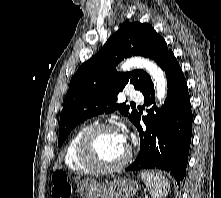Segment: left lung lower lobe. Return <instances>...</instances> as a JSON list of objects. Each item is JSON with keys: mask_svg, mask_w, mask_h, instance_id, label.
Listing matches in <instances>:
<instances>
[{"mask_svg": "<svg viewBox=\"0 0 221 198\" xmlns=\"http://www.w3.org/2000/svg\"><path fill=\"white\" fill-rule=\"evenodd\" d=\"M164 70L168 91L162 108L153 106L143 117L146 129L140 126L138 115L134 124L140 135V152L136 160L126 168L134 171L147 168L162 169L174 176L177 183L184 178L191 142L192 111L186 80L173 53L165 60ZM144 105L154 103V85L150 83L142 91Z\"/></svg>", "mask_w": 221, "mask_h": 198, "instance_id": "0a47b994", "label": "left lung lower lobe"}]
</instances>
